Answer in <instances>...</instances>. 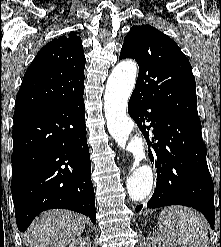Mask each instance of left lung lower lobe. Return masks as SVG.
Returning <instances> with one entry per match:
<instances>
[{
	"instance_id": "left-lung-lower-lobe-1",
	"label": "left lung lower lobe",
	"mask_w": 221,
	"mask_h": 247,
	"mask_svg": "<svg viewBox=\"0 0 221 247\" xmlns=\"http://www.w3.org/2000/svg\"><path fill=\"white\" fill-rule=\"evenodd\" d=\"M128 113L145 136L153 163L155 157L157 182L147 207H192L202 212L214 229V185L206 162L207 151L200 120L169 113L133 93ZM145 122H151L150 126H146ZM150 127H153L152 152ZM142 207L137 206L136 212Z\"/></svg>"
}]
</instances>
